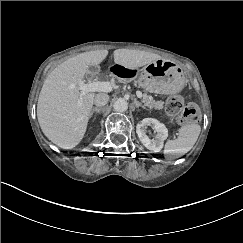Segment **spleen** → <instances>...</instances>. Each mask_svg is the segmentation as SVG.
<instances>
[{"label":"spleen","mask_w":243,"mask_h":243,"mask_svg":"<svg viewBox=\"0 0 243 243\" xmlns=\"http://www.w3.org/2000/svg\"><path fill=\"white\" fill-rule=\"evenodd\" d=\"M177 139L169 140L164 147V154L184 155L188 153L197 142L201 133V126L198 124H189L182 126L179 130Z\"/></svg>","instance_id":"1"}]
</instances>
